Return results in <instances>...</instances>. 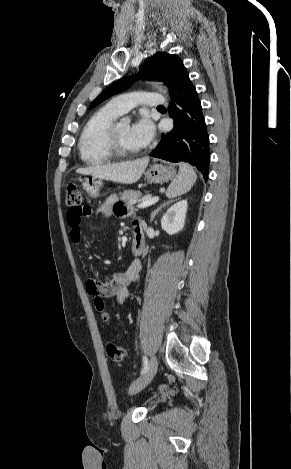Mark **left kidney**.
<instances>
[{
  "instance_id": "5707ae66",
  "label": "left kidney",
  "mask_w": 291,
  "mask_h": 469,
  "mask_svg": "<svg viewBox=\"0 0 291 469\" xmlns=\"http://www.w3.org/2000/svg\"><path fill=\"white\" fill-rule=\"evenodd\" d=\"M187 207V200L172 205L161 219L162 229L170 235L181 231L185 225Z\"/></svg>"
}]
</instances>
